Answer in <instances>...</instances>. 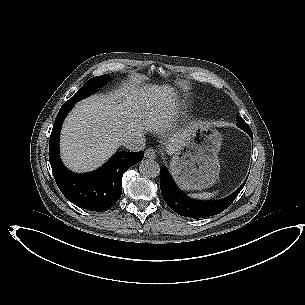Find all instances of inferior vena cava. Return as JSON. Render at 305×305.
<instances>
[{
    "label": "inferior vena cava",
    "mask_w": 305,
    "mask_h": 305,
    "mask_svg": "<svg viewBox=\"0 0 305 305\" xmlns=\"http://www.w3.org/2000/svg\"><path fill=\"white\" fill-rule=\"evenodd\" d=\"M145 138L142 136H134L130 138H126L123 141L124 147L129 151H142L144 150L146 143Z\"/></svg>",
    "instance_id": "inferior-vena-cava-1"
}]
</instances>
